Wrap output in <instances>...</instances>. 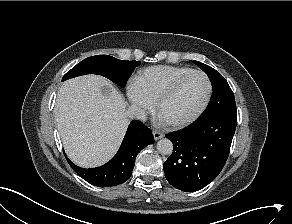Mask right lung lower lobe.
<instances>
[{"mask_svg":"<svg viewBox=\"0 0 292 224\" xmlns=\"http://www.w3.org/2000/svg\"><path fill=\"white\" fill-rule=\"evenodd\" d=\"M154 143L149 128L140 121L130 123L117 154L101 167L84 169L68 163L72 169L88 183L98 187H110L121 184L131 177L137 154L147 145ZM66 156V155H65Z\"/></svg>","mask_w":292,"mask_h":224,"instance_id":"right-lung-lower-lobe-1","label":"right lung lower lobe"}]
</instances>
